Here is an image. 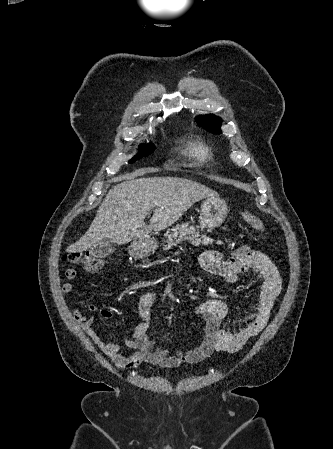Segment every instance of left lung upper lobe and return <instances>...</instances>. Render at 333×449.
I'll return each mask as SVG.
<instances>
[{
	"label": "left lung upper lobe",
	"mask_w": 333,
	"mask_h": 449,
	"mask_svg": "<svg viewBox=\"0 0 333 449\" xmlns=\"http://www.w3.org/2000/svg\"><path fill=\"white\" fill-rule=\"evenodd\" d=\"M196 121L207 130L213 133H220L221 119L213 115L199 116Z\"/></svg>",
	"instance_id": "obj_1"
}]
</instances>
